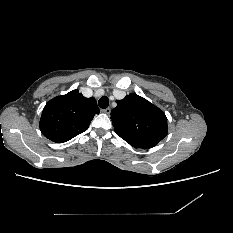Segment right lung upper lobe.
<instances>
[{"label":"right lung upper lobe","mask_w":233,"mask_h":233,"mask_svg":"<svg viewBox=\"0 0 233 233\" xmlns=\"http://www.w3.org/2000/svg\"><path fill=\"white\" fill-rule=\"evenodd\" d=\"M99 108L95 98H86L79 91L50 100L43 109L40 130L49 140L66 142L86 131Z\"/></svg>","instance_id":"obj_1"}]
</instances>
